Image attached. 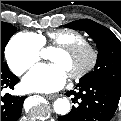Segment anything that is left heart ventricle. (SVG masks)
Here are the masks:
<instances>
[{
    "mask_svg": "<svg viewBox=\"0 0 121 121\" xmlns=\"http://www.w3.org/2000/svg\"><path fill=\"white\" fill-rule=\"evenodd\" d=\"M49 59L53 64L59 66L66 73V75H69L84 66L88 62L89 57L84 56L75 59L63 52L54 50L49 55Z\"/></svg>",
    "mask_w": 121,
    "mask_h": 121,
    "instance_id": "left-heart-ventricle-1",
    "label": "left heart ventricle"
}]
</instances>
